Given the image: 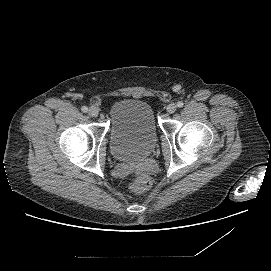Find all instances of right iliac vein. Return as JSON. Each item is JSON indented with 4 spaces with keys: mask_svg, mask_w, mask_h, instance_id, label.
Wrapping results in <instances>:
<instances>
[{
    "mask_svg": "<svg viewBox=\"0 0 271 271\" xmlns=\"http://www.w3.org/2000/svg\"><path fill=\"white\" fill-rule=\"evenodd\" d=\"M88 114L91 116V117H97L98 114H99V111L96 107H90L89 110H88Z\"/></svg>",
    "mask_w": 271,
    "mask_h": 271,
    "instance_id": "right-iliac-vein-1",
    "label": "right iliac vein"
}]
</instances>
